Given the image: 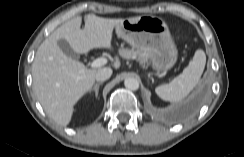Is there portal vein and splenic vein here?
<instances>
[{"label": "portal vein and splenic vein", "mask_w": 244, "mask_h": 157, "mask_svg": "<svg viewBox=\"0 0 244 157\" xmlns=\"http://www.w3.org/2000/svg\"><path fill=\"white\" fill-rule=\"evenodd\" d=\"M107 63L106 58H97L90 63L91 68H99Z\"/></svg>", "instance_id": "obj_1"}]
</instances>
